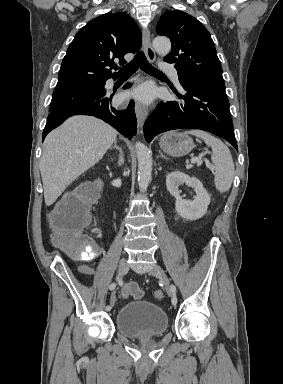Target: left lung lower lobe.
Listing matches in <instances>:
<instances>
[{
  "label": "left lung lower lobe",
  "instance_id": "left-lung-lower-lobe-1",
  "mask_svg": "<svg viewBox=\"0 0 283 384\" xmlns=\"http://www.w3.org/2000/svg\"><path fill=\"white\" fill-rule=\"evenodd\" d=\"M179 81L185 94H176L185 103L161 102L145 122L146 140L150 142L154 136L165 131L194 128L226 139L238 151L225 86L182 78Z\"/></svg>",
  "mask_w": 283,
  "mask_h": 384
}]
</instances>
